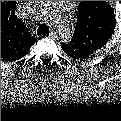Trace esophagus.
Instances as JSON below:
<instances>
[{
	"mask_svg": "<svg viewBox=\"0 0 121 121\" xmlns=\"http://www.w3.org/2000/svg\"><path fill=\"white\" fill-rule=\"evenodd\" d=\"M54 35H55V32H54V31H51V32H50V36L53 37Z\"/></svg>",
	"mask_w": 121,
	"mask_h": 121,
	"instance_id": "1",
	"label": "esophagus"
}]
</instances>
